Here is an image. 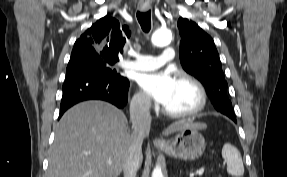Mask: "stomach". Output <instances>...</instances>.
I'll return each instance as SVG.
<instances>
[{"label": "stomach", "instance_id": "obj_1", "mask_svg": "<svg viewBox=\"0 0 287 177\" xmlns=\"http://www.w3.org/2000/svg\"><path fill=\"white\" fill-rule=\"evenodd\" d=\"M206 147L204 137L194 127H185L168 140L164 146H158L171 157L193 161L202 156Z\"/></svg>", "mask_w": 287, "mask_h": 177}]
</instances>
